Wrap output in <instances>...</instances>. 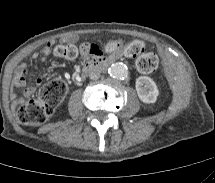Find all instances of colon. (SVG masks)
Listing matches in <instances>:
<instances>
[{
  "mask_svg": "<svg viewBox=\"0 0 215 183\" xmlns=\"http://www.w3.org/2000/svg\"><path fill=\"white\" fill-rule=\"evenodd\" d=\"M85 49L92 55H100L101 48L96 44H88ZM105 51L121 53L129 58H136V65L142 73H152L158 68V57L154 53H146L141 40L122 42L111 40L106 43ZM78 54L77 47L72 43L57 44L53 55L57 58L74 59ZM67 92V84L56 79L48 82L38 94L16 108L17 120L26 126H37L46 122L55 112Z\"/></svg>",
  "mask_w": 215,
  "mask_h": 183,
  "instance_id": "5ec220e1",
  "label": "colon"
}]
</instances>
